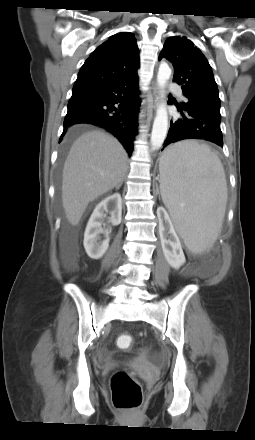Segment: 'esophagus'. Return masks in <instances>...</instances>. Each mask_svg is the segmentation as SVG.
Listing matches in <instances>:
<instances>
[{
  "label": "esophagus",
  "instance_id": "1",
  "mask_svg": "<svg viewBox=\"0 0 255 440\" xmlns=\"http://www.w3.org/2000/svg\"><path fill=\"white\" fill-rule=\"evenodd\" d=\"M153 94H154V107H155V104L158 102L159 99V90L157 85H155L153 88Z\"/></svg>",
  "mask_w": 255,
  "mask_h": 440
}]
</instances>
